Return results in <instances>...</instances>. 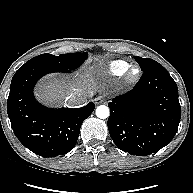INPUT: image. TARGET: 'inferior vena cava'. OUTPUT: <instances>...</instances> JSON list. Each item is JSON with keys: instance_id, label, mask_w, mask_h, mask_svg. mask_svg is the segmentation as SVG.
Wrapping results in <instances>:
<instances>
[{"instance_id": "obj_1", "label": "inferior vena cava", "mask_w": 193, "mask_h": 193, "mask_svg": "<svg viewBox=\"0 0 193 193\" xmlns=\"http://www.w3.org/2000/svg\"><path fill=\"white\" fill-rule=\"evenodd\" d=\"M67 101L70 106H80L87 103L88 98L81 92H74L70 94V96L67 98Z\"/></svg>"}]
</instances>
